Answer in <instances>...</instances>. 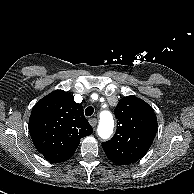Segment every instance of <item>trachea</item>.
<instances>
[{
  "instance_id": "1",
  "label": "trachea",
  "mask_w": 194,
  "mask_h": 194,
  "mask_svg": "<svg viewBox=\"0 0 194 194\" xmlns=\"http://www.w3.org/2000/svg\"><path fill=\"white\" fill-rule=\"evenodd\" d=\"M94 113V108L92 106H88L86 109H85V115L86 116H92V114Z\"/></svg>"
}]
</instances>
